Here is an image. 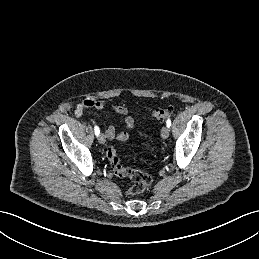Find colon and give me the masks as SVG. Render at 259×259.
<instances>
[{
	"mask_svg": "<svg viewBox=\"0 0 259 259\" xmlns=\"http://www.w3.org/2000/svg\"><path fill=\"white\" fill-rule=\"evenodd\" d=\"M171 114L170 108H157L153 110L152 117L156 121H164ZM107 159L113 172L119 177H127L131 180L132 186L128 190L130 195L141 194L146 191L152 179L150 175L136 169L123 167L120 163L117 150L114 147H109L106 152Z\"/></svg>",
	"mask_w": 259,
	"mask_h": 259,
	"instance_id": "obj_1",
	"label": "colon"
}]
</instances>
